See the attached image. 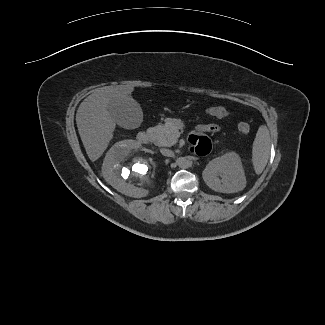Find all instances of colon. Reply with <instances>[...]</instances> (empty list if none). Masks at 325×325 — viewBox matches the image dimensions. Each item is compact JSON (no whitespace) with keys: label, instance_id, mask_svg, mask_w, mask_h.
<instances>
[{"label":"colon","instance_id":"colon-1","mask_svg":"<svg viewBox=\"0 0 325 325\" xmlns=\"http://www.w3.org/2000/svg\"><path fill=\"white\" fill-rule=\"evenodd\" d=\"M206 114L215 118H225L229 115V111L222 106H210L206 109ZM238 130L243 134L250 132V125L247 122H238Z\"/></svg>","mask_w":325,"mask_h":325}]
</instances>
